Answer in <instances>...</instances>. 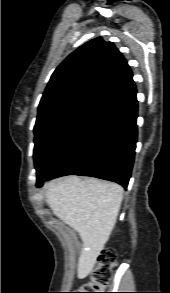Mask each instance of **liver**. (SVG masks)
<instances>
[{
	"label": "liver",
	"mask_w": 170,
	"mask_h": 293,
	"mask_svg": "<svg viewBox=\"0 0 170 293\" xmlns=\"http://www.w3.org/2000/svg\"><path fill=\"white\" fill-rule=\"evenodd\" d=\"M46 201L55 216L78 232L85 250L78 259L77 277L83 279L115 227L124 189L95 178L69 176L46 186Z\"/></svg>",
	"instance_id": "liver-1"
}]
</instances>
